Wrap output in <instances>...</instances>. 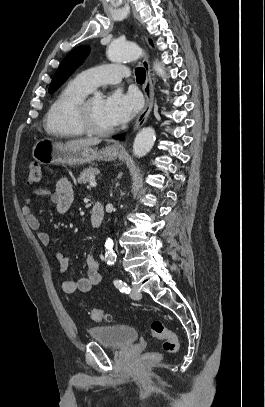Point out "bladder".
Returning a JSON list of instances; mask_svg holds the SVG:
<instances>
[{"mask_svg": "<svg viewBox=\"0 0 265 407\" xmlns=\"http://www.w3.org/2000/svg\"><path fill=\"white\" fill-rule=\"evenodd\" d=\"M88 335L92 340L116 349L132 345L139 337L135 328L126 325L90 327Z\"/></svg>", "mask_w": 265, "mask_h": 407, "instance_id": "bladder-1", "label": "bladder"}]
</instances>
